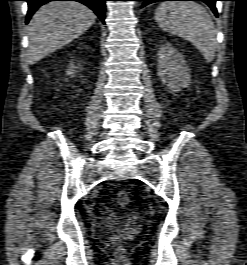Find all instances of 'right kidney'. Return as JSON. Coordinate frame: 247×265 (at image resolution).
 <instances>
[{
  "instance_id": "1",
  "label": "right kidney",
  "mask_w": 247,
  "mask_h": 265,
  "mask_svg": "<svg viewBox=\"0 0 247 265\" xmlns=\"http://www.w3.org/2000/svg\"><path fill=\"white\" fill-rule=\"evenodd\" d=\"M75 68L76 67L73 65V63H71L69 65V69L67 70L66 74L70 76H74V74L76 73Z\"/></svg>"
}]
</instances>
